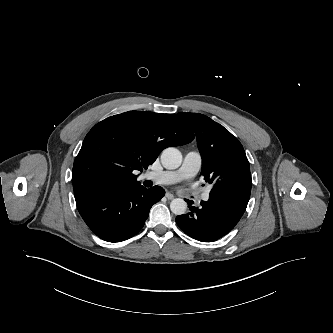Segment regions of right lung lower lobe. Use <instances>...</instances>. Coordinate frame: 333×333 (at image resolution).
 I'll use <instances>...</instances> for the list:
<instances>
[{
  "label": "right lung lower lobe",
  "mask_w": 333,
  "mask_h": 333,
  "mask_svg": "<svg viewBox=\"0 0 333 333\" xmlns=\"http://www.w3.org/2000/svg\"><path fill=\"white\" fill-rule=\"evenodd\" d=\"M164 194L159 186H139L129 190L91 187L74 195L78 211L92 232L105 241L120 242L140 231L151 207Z\"/></svg>",
  "instance_id": "98d812e1"
}]
</instances>
